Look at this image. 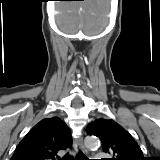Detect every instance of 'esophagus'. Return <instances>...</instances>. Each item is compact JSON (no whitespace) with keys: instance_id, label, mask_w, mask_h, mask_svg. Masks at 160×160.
Instances as JSON below:
<instances>
[{"instance_id":"esophagus-1","label":"esophagus","mask_w":160,"mask_h":160,"mask_svg":"<svg viewBox=\"0 0 160 160\" xmlns=\"http://www.w3.org/2000/svg\"><path fill=\"white\" fill-rule=\"evenodd\" d=\"M74 147L77 149V150H81L83 153H87V150L83 144V139L82 137H78L77 139H75L74 141Z\"/></svg>"}]
</instances>
